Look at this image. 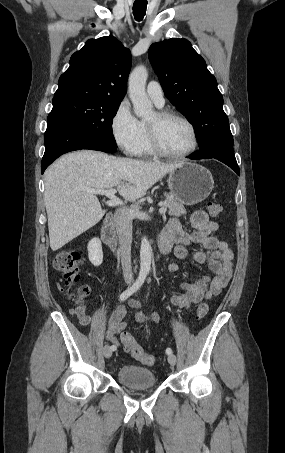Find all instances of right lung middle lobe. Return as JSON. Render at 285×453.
Returning a JSON list of instances; mask_svg holds the SVG:
<instances>
[{"label": "right lung middle lobe", "instance_id": "obj_1", "mask_svg": "<svg viewBox=\"0 0 285 453\" xmlns=\"http://www.w3.org/2000/svg\"><path fill=\"white\" fill-rule=\"evenodd\" d=\"M120 102L106 97H65L52 101V112L69 117L99 141L117 147L112 120Z\"/></svg>", "mask_w": 285, "mask_h": 453}]
</instances>
